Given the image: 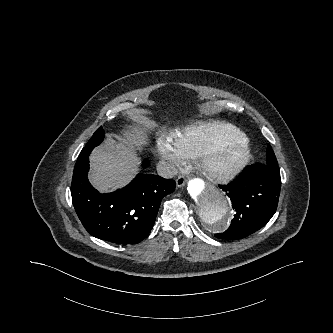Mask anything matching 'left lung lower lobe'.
Listing matches in <instances>:
<instances>
[{"instance_id": "0a47b994", "label": "left lung lower lobe", "mask_w": 333, "mask_h": 333, "mask_svg": "<svg viewBox=\"0 0 333 333\" xmlns=\"http://www.w3.org/2000/svg\"><path fill=\"white\" fill-rule=\"evenodd\" d=\"M267 150H272L270 145ZM220 188L230 197L235 215L230 227L215 236L242 239L262 228L276 212L280 171L257 163L247 166L233 182Z\"/></svg>"}]
</instances>
